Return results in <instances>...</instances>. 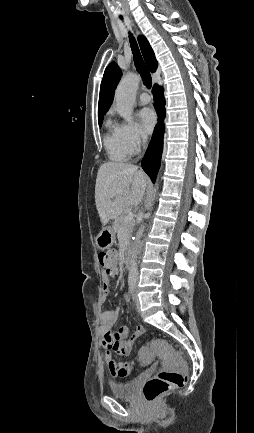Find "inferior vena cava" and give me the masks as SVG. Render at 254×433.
<instances>
[{
  "label": "inferior vena cava",
  "mask_w": 254,
  "mask_h": 433,
  "mask_svg": "<svg viewBox=\"0 0 254 433\" xmlns=\"http://www.w3.org/2000/svg\"><path fill=\"white\" fill-rule=\"evenodd\" d=\"M147 138H146V136H143V140L145 141Z\"/></svg>",
  "instance_id": "obj_1"
}]
</instances>
